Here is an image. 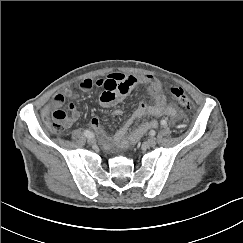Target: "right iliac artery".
I'll return each instance as SVG.
<instances>
[{
	"label": "right iliac artery",
	"mask_w": 243,
	"mask_h": 243,
	"mask_svg": "<svg viewBox=\"0 0 243 243\" xmlns=\"http://www.w3.org/2000/svg\"><path fill=\"white\" fill-rule=\"evenodd\" d=\"M84 135H85L86 137H93V134H92L90 131H88V130H85V131H84Z\"/></svg>",
	"instance_id": "1"
}]
</instances>
